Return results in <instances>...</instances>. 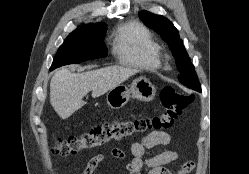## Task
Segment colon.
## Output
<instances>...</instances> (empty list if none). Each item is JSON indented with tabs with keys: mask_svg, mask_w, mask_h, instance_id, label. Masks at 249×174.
Returning a JSON list of instances; mask_svg holds the SVG:
<instances>
[{
	"mask_svg": "<svg viewBox=\"0 0 249 174\" xmlns=\"http://www.w3.org/2000/svg\"><path fill=\"white\" fill-rule=\"evenodd\" d=\"M160 100L164 111L159 116L113 120L94 126L80 135L57 140L53 152L59 156H68L125 141L145 132H159L162 129H168L188 108L193 96L184 94L173 87H165L160 92Z\"/></svg>",
	"mask_w": 249,
	"mask_h": 174,
	"instance_id": "1",
	"label": "colon"
}]
</instances>
